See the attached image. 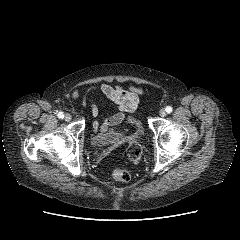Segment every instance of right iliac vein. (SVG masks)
Returning <instances> with one entry per match:
<instances>
[{
    "instance_id": "right-iliac-vein-1",
    "label": "right iliac vein",
    "mask_w": 240,
    "mask_h": 240,
    "mask_svg": "<svg viewBox=\"0 0 240 240\" xmlns=\"http://www.w3.org/2000/svg\"><path fill=\"white\" fill-rule=\"evenodd\" d=\"M64 119H65V121H70L71 119H72V116H71V114H66L65 116H64Z\"/></svg>"
}]
</instances>
